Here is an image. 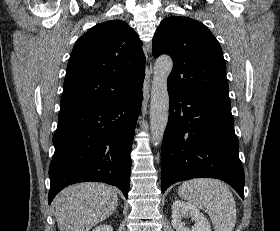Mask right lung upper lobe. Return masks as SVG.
Returning <instances> with one entry per match:
<instances>
[{"label":"right lung upper lobe","mask_w":280,"mask_h":231,"mask_svg":"<svg viewBox=\"0 0 280 231\" xmlns=\"http://www.w3.org/2000/svg\"><path fill=\"white\" fill-rule=\"evenodd\" d=\"M144 63L142 42L126 22L92 27L72 50L59 115L133 94L142 88Z\"/></svg>","instance_id":"1"}]
</instances>
